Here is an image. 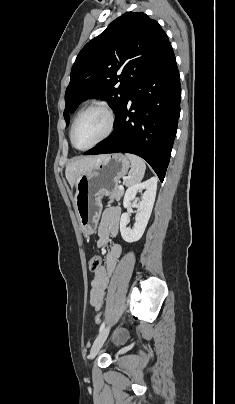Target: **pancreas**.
Returning a JSON list of instances; mask_svg holds the SVG:
<instances>
[{
	"instance_id": "obj_1",
	"label": "pancreas",
	"mask_w": 235,
	"mask_h": 404,
	"mask_svg": "<svg viewBox=\"0 0 235 404\" xmlns=\"http://www.w3.org/2000/svg\"><path fill=\"white\" fill-rule=\"evenodd\" d=\"M124 194V190H120L118 186H115L111 194L109 195L110 201H119Z\"/></svg>"
}]
</instances>
